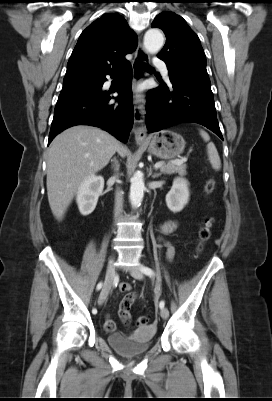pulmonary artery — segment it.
Segmentation results:
<instances>
[{
	"mask_svg": "<svg viewBox=\"0 0 272 401\" xmlns=\"http://www.w3.org/2000/svg\"><path fill=\"white\" fill-rule=\"evenodd\" d=\"M153 66L158 67L162 70L163 74L168 77V70L166 68V64L162 59L155 58L153 60Z\"/></svg>",
	"mask_w": 272,
	"mask_h": 401,
	"instance_id": "pulmonary-artery-1",
	"label": "pulmonary artery"
}]
</instances>
